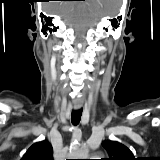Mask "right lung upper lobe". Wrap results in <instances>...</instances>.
I'll return each instance as SVG.
<instances>
[{"label":"right lung upper lobe","instance_id":"obj_1","mask_svg":"<svg viewBox=\"0 0 160 160\" xmlns=\"http://www.w3.org/2000/svg\"><path fill=\"white\" fill-rule=\"evenodd\" d=\"M21 160H53V150L49 142L42 141L33 144Z\"/></svg>","mask_w":160,"mask_h":160}]
</instances>
